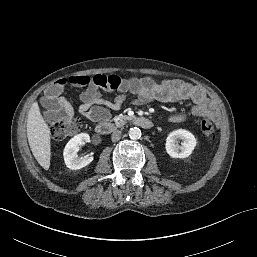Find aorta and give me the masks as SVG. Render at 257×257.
Listing matches in <instances>:
<instances>
[{
    "instance_id": "obj_1",
    "label": "aorta",
    "mask_w": 257,
    "mask_h": 257,
    "mask_svg": "<svg viewBox=\"0 0 257 257\" xmlns=\"http://www.w3.org/2000/svg\"><path fill=\"white\" fill-rule=\"evenodd\" d=\"M129 137L131 139H139L141 137V130L137 127L130 128Z\"/></svg>"
}]
</instances>
